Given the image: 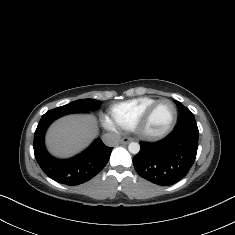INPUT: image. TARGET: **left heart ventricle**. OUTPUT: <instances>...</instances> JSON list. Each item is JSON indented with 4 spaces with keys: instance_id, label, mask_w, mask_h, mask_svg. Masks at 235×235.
I'll list each match as a JSON object with an SVG mask.
<instances>
[{
    "instance_id": "obj_1",
    "label": "left heart ventricle",
    "mask_w": 235,
    "mask_h": 235,
    "mask_svg": "<svg viewBox=\"0 0 235 235\" xmlns=\"http://www.w3.org/2000/svg\"><path fill=\"white\" fill-rule=\"evenodd\" d=\"M174 112V107L170 102H161L153 112L147 131L150 133L164 131L172 121Z\"/></svg>"
}]
</instances>
